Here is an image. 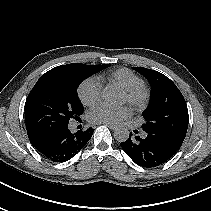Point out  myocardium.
Returning a JSON list of instances; mask_svg holds the SVG:
<instances>
[{
    "label": "myocardium",
    "instance_id": "1",
    "mask_svg": "<svg viewBox=\"0 0 211 211\" xmlns=\"http://www.w3.org/2000/svg\"><path fill=\"white\" fill-rule=\"evenodd\" d=\"M127 103L134 109L144 108L150 99V91L144 85L135 86L123 90Z\"/></svg>",
    "mask_w": 211,
    "mask_h": 211
}]
</instances>
